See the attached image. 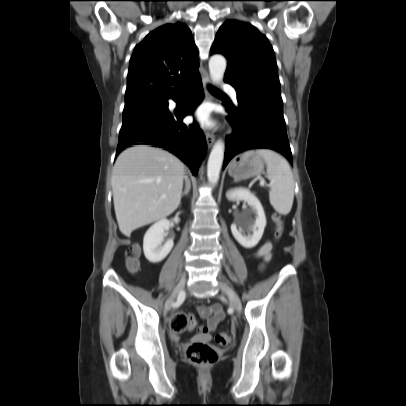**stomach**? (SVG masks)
<instances>
[{
    "label": "stomach",
    "mask_w": 406,
    "mask_h": 406,
    "mask_svg": "<svg viewBox=\"0 0 406 406\" xmlns=\"http://www.w3.org/2000/svg\"><path fill=\"white\" fill-rule=\"evenodd\" d=\"M265 161L257 154L236 156L228 167V173L236 180L249 179L264 173Z\"/></svg>",
    "instance_id": "stomach-1"
}]
</instances>
